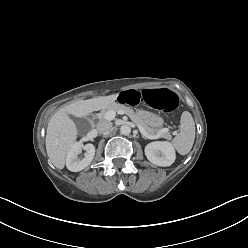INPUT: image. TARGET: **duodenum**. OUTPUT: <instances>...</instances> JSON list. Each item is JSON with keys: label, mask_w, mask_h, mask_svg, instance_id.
<instances>
[{"label": "duodenum", "mask_w": 248, "mask_h": 248, "mask_svg": "<svg viewBox=\"0 0 248 248\" xmlns=\"http://www.w3.org/2000/svg\"><path fill=\"white\" fill-rule=\"evenodd\" d=\"M93 116H94V114H93V113H91V114L89 115V117H90V118H92Z\"/></svg>", "instance_id": "1"}]
</instances>
